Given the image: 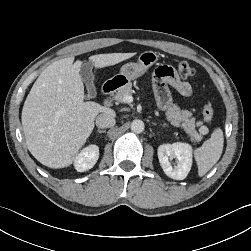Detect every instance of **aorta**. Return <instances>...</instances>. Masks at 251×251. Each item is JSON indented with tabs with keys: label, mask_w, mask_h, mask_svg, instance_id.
<instances>
[{
	"label": "aorta",
	"mask_w": 251,
	"mask_h": 251,
	"mask_svg": "<svg viewBox=\"0 0 251 251\" xmlns=\"http://www.w3.org/2000/svg\"><path fill=\"white\" fill-rule=\"evenodd\" d=\"M131 130L134 133H141L144 130V122L142 120L136 119L131 123Z\"/></svg>",
	"instance_id": "aorta-1"
}]
</instances>
